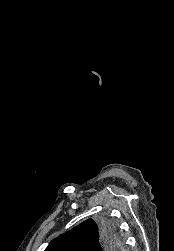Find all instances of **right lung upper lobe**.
I'll return each mask as SVG.
<instances>
[{
	"instance_id": "obj_1",
	"label": "right lung upper lobe",
	"mask_w": 174,
	"mask_h": 251,
	"mask_svg": "<svg viewBox=\"0 0 174 251\" xmlns=\"http://www.w3.org/2000/svg\"><path fill=\"white\" fill-rule=\"evenodd\" d=\"M100 237V224L88 219L52 240L45 251H93ZM118 248V243L112 245V249Z\"/></svg>"
}]
</instances>
